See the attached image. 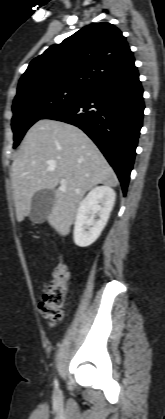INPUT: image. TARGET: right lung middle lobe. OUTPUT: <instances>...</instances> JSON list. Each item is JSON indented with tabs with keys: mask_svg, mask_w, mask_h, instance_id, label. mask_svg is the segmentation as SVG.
Wrapping results in <instances>:
<instances>
[{
	"mask_svg": "<svg viewBox=\"0 0 165 419\" xmlns=\"http://www.w3.org/2000/svg\"><path fill=\"white\" fill-rule=\"evenodd\" d=\"M86 94V91L79 89L53 87L15 99L12 106L13 148L18 146L26 131L36 121L50 112L80 100Z\"/></svg>",
	"mask_w": 165,
	"mask_h": 419,
	"instance_id": "right-lung-middle-lobe-1",
	"label": "right lung middle lobe"
}]
</instances>
